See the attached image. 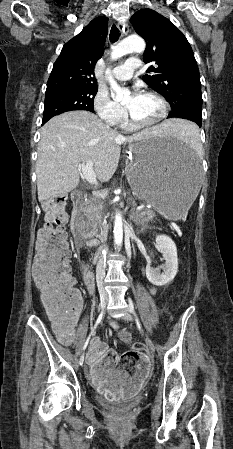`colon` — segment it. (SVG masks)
<instances>
[{
	"label": "colon",
	"mask_w": 233,
	"mask_h": 449,
	"mask_svg": "<svg viewBox=\"0 0 233 449\" xmlns=\"http://www.w3.org/2000/svg\"><path fill=\"white\" fill-rule=\"evenodd\" d=\"M67 199L55 197L44 205L46 224L38 234L37 254L33 266V278L41 291L48 315L55 322L70 323L76 315L81 295L76 290L71 274V253L68 247L65 226ZM143 344L122 355L119 364L126 370L138 367L144 360Z\"/></svg>",
	"instance_id": "obj_1"
}]
</instances>
